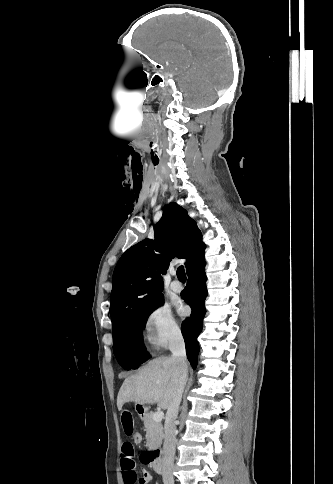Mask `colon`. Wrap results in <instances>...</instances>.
<instances>
[{"label":"colon","instance_id":"1","mask_svg":"<svg viewBox=\"0 0 333 484\" xmlns=\"http://www.w3.org/2000/svg\"><path fill=\"white\" fill-rule=\"evenodd\" d=\"M132 437H133V441H134L135 444L141 443L142 435L139 432H135Z\"/></svg>","mask_w":333,"mask_h":484}]
</instances>
